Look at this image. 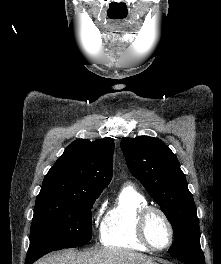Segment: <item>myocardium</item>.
I'll use <instances>...</instances> for the list:
<instances>
[{"label": "myocardium", "instance_id": "f54148a6", "mask_svg": "<svg viewBox=\"0 0 221 264\" xmlns=\"http://www.w3.org/2000/svg\"><path fill=\"white\" fill-rule=\"evenodd\" d=\"M152 213L159 214L163 218L169 229V241L165 246L157 247L149 239L147 233V223L149 216ZM136 234L140 242L145 245L148 249H151L153 251L166 250L172 245L174 241V227L168 215L161 208L152 205H146L139 210L136 218Z\"/></svg>", "mask_w": 221, "mask_h": 264}]
</instances>
